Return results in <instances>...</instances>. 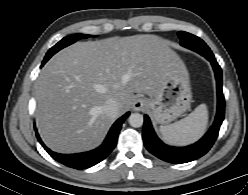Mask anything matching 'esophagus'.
<instances>
[{
    "instance_id": "1",
    "label": "esophagus",
    "mask_w": 248,
    "mask_h": 195,
    "mask_svg": "<svg viewBox=\"0 0 248 195\" xmlns=\"http://www.w3.org/2000/svg\"><path fill=\"white\" fill-rule=\"evenodd\" d=\"M146 104H147V102L144 98H137L133 102L132 107L135 111H141L145 108Z\"/></svg>"
}]
</instances>
